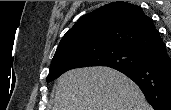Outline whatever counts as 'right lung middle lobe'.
I'll return each instance as SVG.
<instances>
[{
    "instance_id": "obj_1",
    "label": "right lung middle lobe",
    "mask_w": 171,
    "mask_h": 110,
    "mask_svg": "<svg viewBox=\"0 0 171 110\" xmlns=\"http://www.w3.org/2000/svg\"><path fill=\"white\" fill-rule=\"evenodd\" d=\"M149 55L121 46H86L54 55L46 81L51 82L64 72L86 66H108L114 69L137 67Z\"/></svg>"
}]
</instances>
